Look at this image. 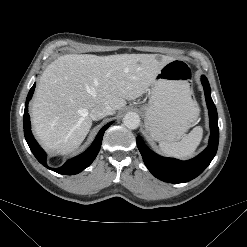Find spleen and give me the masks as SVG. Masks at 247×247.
Segmentation results:
<instances>
[{
  "mask_svg": "<svg viewBox=\"0 0 247 247\" xmlns=\"http://www.w3.org/2000/svg\"><path fill=\"white\" fill-rule=\"evenodd\" d=\"M189 101L192 105H197L196 102L189 96ZM197 108V107H196ZM198 109V108H197ZM203 136V129L200 126L193 128L190 133L185 135L178 142L161 141L159 143L161 151L168 155L179 159L191 157Z\"/></svg>",
  "mask_w": 247,
  "mask_h": 247,
  "instance_id": "3e777b00",
  "label": "spleen"
}]
</instances>
